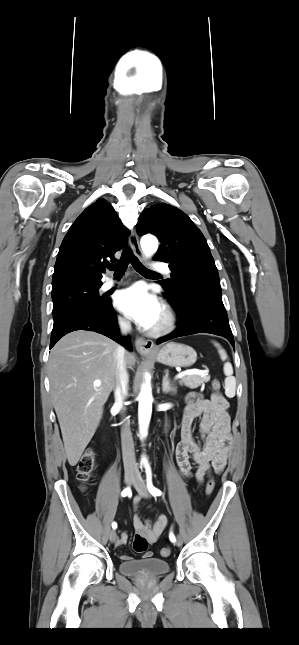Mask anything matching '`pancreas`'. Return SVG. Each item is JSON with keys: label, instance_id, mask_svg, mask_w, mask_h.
<instances>
[{"label": "pancreas", "instance_id": "obj_1", "mask_svg": "<svg viewBox=\"0 0 299 645\" xmlns=\"http://www.w3.org/2000/svg\"><path fill=\"white\" fill-rule=\"evenodd\" d=\"M203 375L199 374H194V375H187L181 378L179 381L180 385H184L190 389H195L201 386L203 383L209 382L210 381V376L208 375L207 372L203 371Z\"/></svg>", "mask_w": 299, "mask_h": 645}]
</instances>
